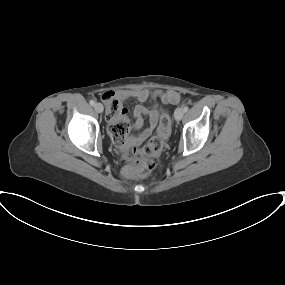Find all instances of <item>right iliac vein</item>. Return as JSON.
Masks as SVG:
<instances>
[{
    "label": "right iliac vein",
    "mask_w": 285,
    "mask_h": 285,
    "mask_svg": "<svg viewBox=\"0 0 285 285\" xmlns=\"http://www.w3.org/2000/svg\"><path fill=\"white\" fill-rule=\"evenodd\" d=\"M94 109H95L96 112L102 113L104 108H103V105L101 103H96L94 105Z\"/></svg>",
    "instance_id": "1"
}]
</instances>
